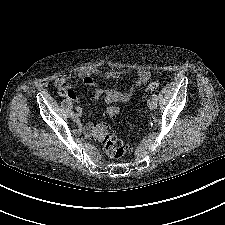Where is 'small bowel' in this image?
Masks as SVG:
<instances>
[{"label": "small bowel", "instance_id": "small-bowel-1", "mask_svg": "<svg viewBox=\"0 0 225 225\" xmlns=\"http://www.w3.org/2000/svg\"><path fill=\"white\" fill-rule=\"evenodd\" d=\"M123 71L119 69L112 70H101V69H92L79 73L78 75L66 74L58 77L55 80V86L60 91V93L75 103H79V99L76 93L71 89L70 82L73 79H79L82 84L85 86L94 88V98L100 99L105 94V102L107 104L112 103H126L128 102L138 91L139 89L147 82L150 77V72L145 69H140L135 73V82L134 84L124 92L116 91L113 89H108L104 91L99 87L93 77H103L107 79H118L123 75ZM93 124L88 123L84 125V131L87 134H91L93 131Z\"/></svg>", "mask_w": 225, "mask_h": 225}]
</instances>
